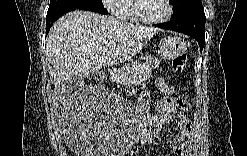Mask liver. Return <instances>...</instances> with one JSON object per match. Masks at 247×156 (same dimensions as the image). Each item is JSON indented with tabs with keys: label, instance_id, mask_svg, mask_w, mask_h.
Returning a JSON list of instances; mask_svg holds the SVG:
<instances>
[{
	"label": "liver",
	"instance_id": "1",
	"mask_svg": "<svg viewBox=\"0 0 247 156\" xmlns=\"http://www.w3.org/2000/svg\"><path fill=\"white\" fill-rule=\"evenodd\" d=\"M159 29L120 21L89 11L59 18L47 36L46 51L56 72L55 91L70 77H88L103 66L139 53Z\"/></svg>",
	"mask_w": 247,
	"mask_h": 156
}]
</instances>
